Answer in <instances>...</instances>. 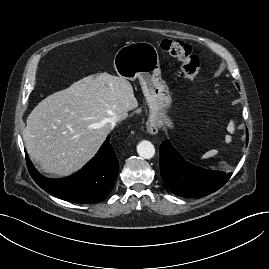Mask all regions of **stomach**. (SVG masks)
Instances as JSON below:
<instances>
[{"mask_svg":"<svg viewBox=\"0 0 269 269\" xmlns=\"http://www.w3.org/2000/svg\"><path fill=\"white\" fill-rule=\"evenodd\" d=\"M114 68L127 80L139 79L150 109V117L162 125L173 128V121L166 115L172 97L161 78L159 55L149 42H132L121 47L114 56Z\"/></svg>","mask_w":269,"mask_h":269,"instance_id":"1","label":"stomach"}]
</instances>
